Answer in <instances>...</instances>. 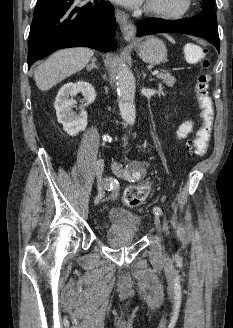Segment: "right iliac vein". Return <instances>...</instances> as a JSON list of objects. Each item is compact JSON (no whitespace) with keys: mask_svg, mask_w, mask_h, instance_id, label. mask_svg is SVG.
<instances>
[{"mask_svg":"<svg viewBox=\"0 0 233 328\" xmlns=\"http://www.w3.org/2000/svg\"><path fill=\"white\" fill-rule=\"evenodd\" d=\"M104 169V161L99 158L95 163V174L97 179V189L98 194L95 196L94 203L95 205L98 204L102 197L104 196V188L106 187V183L103 180L102 174Z\"/></svg>","mask_w":233,"mask_h":328,"instance_id":"63e3f726","label":"right iliac vein"}]
</instances>
